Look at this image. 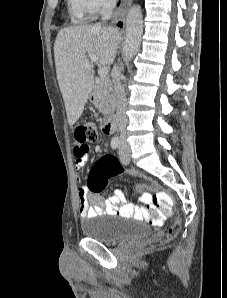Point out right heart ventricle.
Masks as SVG:
<instances>
[{
  "mask_svg": "<svg viewBox=\"0 0 227 298\" xmlns=\"http://www.w3.org/2000/svg\"><path fill=\"white\" fill-rule=\"evenodd\" d=\"M69 3H70V1H69ZM70 7H71V11H72V13L76 16V17H82L84 14L83 13H81V12H79L78 10H76L72 5H71V3H70Z\"/></svg>",
  "mask_w": 227,
  "mask_h": 298,
  "instance_id": "1",
  "label": "right heart ventricle"
}]
</instances>
